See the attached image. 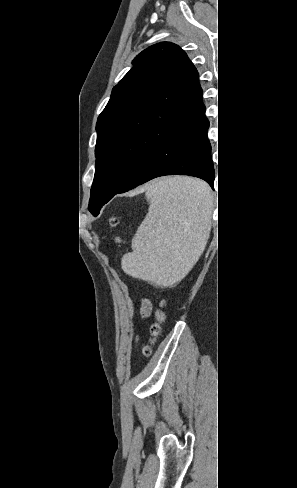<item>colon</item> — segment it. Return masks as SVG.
Listing matches in <instances>:
<instances>
[{
	"instance_id": "obj_1",
	"label": "colon",
	"mask_w": 297,
	"mask_h": 488,
	"mask_svg": "<svg viewBox=\"0 0 297 488\" xmlns=\"http://www.w3.org/2000/svg\"><path fill=\"white\" fill-rule=\"evenodd\" d=\"M117 224H118V219L111 218L109 221V228L114 229L117 226ZM115 241H118V239L115 238ZM156 316H157V322L151 327L152 342L161 335L162 325L166 320V316L162 311H159ZM150 351H151L150 346H147L144 350L146 355H148Z\"/></svg>"
}]
</instances>
